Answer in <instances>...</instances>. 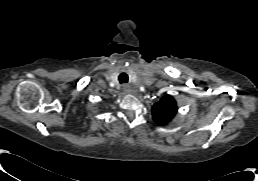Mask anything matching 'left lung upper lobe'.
I'll return each mask as SVG.
<instances>
[{
	"label": "left lung upper lobe",
	"mask_w": 258,
	"mask_h": 181,
	"mask_svg": "<svg viewBox=\"0 0 258 181\" xmlns=\"http://www.w3.org/2000/svg\"><path fill=\"white\" fill-rule=\"evenodd\" d=\"M177 113V105L172 96L166 95L152 107L153 119L159 124H166Z\"/></svg>",
	"instance_id": "1"
}]
</instances>
